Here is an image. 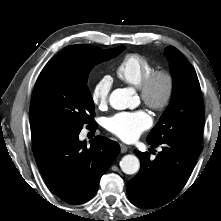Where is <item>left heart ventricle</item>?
Segmentation results:
<instances>
[{
  "mask_svg": "<svg viewBox=\"0 0 221 221\" xmlns=\"http://www.w3.org/2000/svg\"><path fill=\"white\" fill-rule=\"evenodd\" d=\"M164 85L163 83H159L156 87L155 94L157 97H160L163 93Z\"/></svg>",
  "mask_w": 221,
  "mask_h": 221,
  "instance_id": "b2bd125f",
  "label": "left heart ventricle"
}]
</instances>
